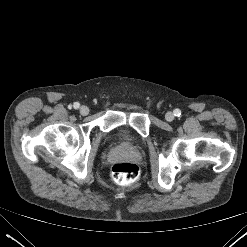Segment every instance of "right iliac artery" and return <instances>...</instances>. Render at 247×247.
<instances>
[{"instance_id": "82829eb1", "label": "right iliac artery", "mask_w": 247, "mask_h": 247, "mask_svg": "<svg viewBox=\"0 0 247 247\" xmlns=\"http://www.w3.org/2000/svg\"><path fill=\"white\" fill-rule=\"evenodd\" d=\"M79 106H80V104H79L78 102H75V103L73 104V107H74L75 109L79 108Z\"/></svg>"}]
</instances>
